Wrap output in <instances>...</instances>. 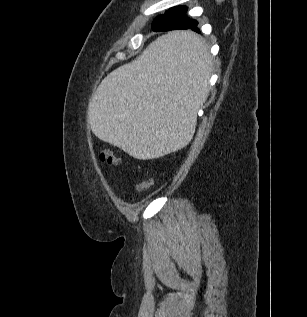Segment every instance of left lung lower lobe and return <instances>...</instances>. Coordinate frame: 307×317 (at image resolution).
Masks as SVG:
<instances>
[{"instance_id": "obj_1", "label": "left lung lower lobe", "mask_w": 307, "mask_h": 317, "mask_svg": "<svg viewBox=\"0 0 307 317\" xmlns=\"http://www.w3.org/2000/svg\"><path fill=\"white\" fill-rule=\"evenodd\" d=\"M158 17L152 23V29L155 32L170 31V30H188L187 32L181 33L180 36H177L173 40L170 41L171 50H176V49L183 48L185 46H190L195 44V42L198 39V36L192 33L191 31L200 33V30L198 28V22L196 20L191 19V21L188 24H183V25H178L177 27H173L171 26V24H169L170 22L162 20V19L160 20Z\"/></svg>"}]
</instances>
